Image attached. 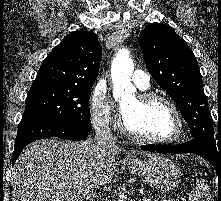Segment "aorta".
Instances as JSON below:
<instances>
[{
	"mask_svg": "<svg viewBox=\"0 0 221 201\" xmlns=\"http://www.w3.org/2000/svg\"><path fill=\"white\" fill-rule=\"evenodd\" d=\"M133 70L134 64L129 57V51L127 49H121L117 57L113 60L111 67L113 93L116 99L129 94L133 90L131 83Z\"/></svg>",
	"mask_w": 221,
	"mask_h": 201,
	"instance_id": "762f6f07",
	"label": "aorta"
}]
</instances>
